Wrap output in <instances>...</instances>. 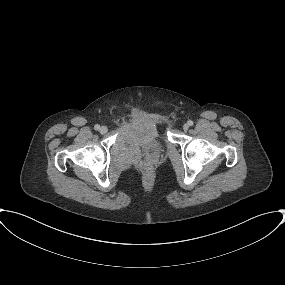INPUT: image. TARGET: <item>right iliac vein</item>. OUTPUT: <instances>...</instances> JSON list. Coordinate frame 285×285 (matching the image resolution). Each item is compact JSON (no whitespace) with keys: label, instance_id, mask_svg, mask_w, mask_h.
<instances>
[{"label":"right iliac vein","instance_id":"obj_1","mask_svg":"<svg viewBox=\"0 0 285 285\" xmlns=\"http://www.w3.org/2000/svg\"><path fill=\"white\" fill-rule=\"evenodd\" d=\"M99 131H100L101 134H105V133H107L108 128L106 126H101Z\"/></svg>","mask_w":285,"mask_h":285}]
</instances>
